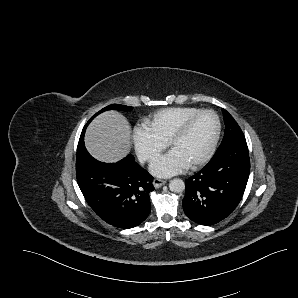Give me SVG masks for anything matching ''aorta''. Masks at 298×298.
I'll use <instances>...</instances> for the list:
<instances>
[{"label":"aorta","instance_id":"762f6f07","mask_svg":"<svg viewBox=\"0 0 298 298\" xmlns=\"http://www.w3.org/2000/svg\"><path fill=\"white\" fill-rule=\"evenodd\" d=\"M169 190L172 192H180L185 189V182L181 178H173L169 181Z\"/></svg>","mask_w":298,"mask_h":298}]
</instances>
